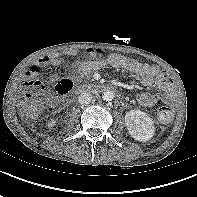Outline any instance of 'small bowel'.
<instances>
[{
  "label": "small bowel",
  "instance_id": "c3829d8e",
  "mask_svg": "<svg viewBox=\"0 0 197 197\" xmlns=\"http://www.w3.org/2000/svg\"><path fill=\"white\" fill-rule=\"evenodd\" d=\"M75 51L69 52V55H76ZM101 54L100 50L89 49L85 52L87 60L78 61L72 64L71 68L80 76H88L95 70L101 69L105 64L114 68L124 69L136 74L140 78V82L145 87H156L157 92H141L137 95L138 103L143 107H151L159 100H170L174 94V87L168 76L155 66L130 59L121 54H110L106 61L98 60L96 57ZM62 59L57 55L43 56L37 60L35 65L30 69L28 75L32 78L27 85L40 74L46 66L59 67ZM30 87V86H29ZM31 88V87H30Z\"/></svg>",
  "mask_w": 197,
  "mask_h": 197
}]
</instances>
